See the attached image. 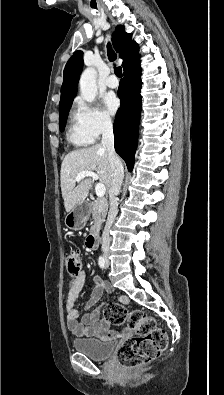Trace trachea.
Segmentation results:
<instances>
[{
	"label": "trachea",
	"mask_w": 224,
	"mask_h": 395,
	"mask_svg": "<svg viewBox=\"0 0 224 395\" xmlns=\"http://www.w3.org/2000/svg\"><path fill=\"white\" fill-rule=\"evenodd\" d=\"M108 59L113 62L116 59V54L114 51L111 49L110 45H108ZM114 72L116 76L122 77V68L121 67H115Z\"/></svg>",
	"instance_id": "3493384b"
}]
</instances>
